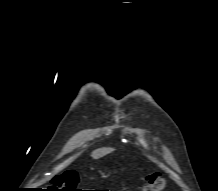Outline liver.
I'll return each instance as SVG.
<instances>
[{
	"label": "liver",
	"mask_w": 218,
	"mask_h": 191,
	"mask_svg": "<svg viewBox=\"0 0 218 191\" xmlns=\"http://www.w3.org/2000/svg\"><path fill=\"white\" fill-rule=\"evenodd\" d=\"M112 151H113L112 148H99V149L93 151L92 154H91V156H92V158H94V159H98V158H100V157H103V156L109 154V153L112 152Z\"/></svg>",
	"instance_id": "obj_1"
}]
</instances>
